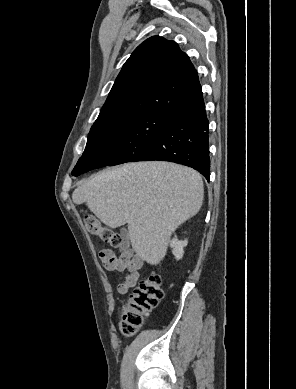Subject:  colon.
Masks as SVG:
<instances>
[{"label": "colon", "mask_w": 296, "mask_h": 389, "mask_svg": "<svg viewBox=\"0 0 296 389\" xmlns=\"http://www.w3.org/2000/svg\"><path fill=\"white\" fill-rule=\"evenodd\" d=\"M85 226L89 233L96 235L100 240L113 247L122 244L123 239L115 229L104 225L93 215H86ZM112 264V259L108 260ZM163 298L161 277L152 273L141 280L129 294L121 312L120 328L122 333L130 337L142 326L144 318L153 310Z\"/></svg>", "instance_id": "5ec220e1"}]
</instances>
